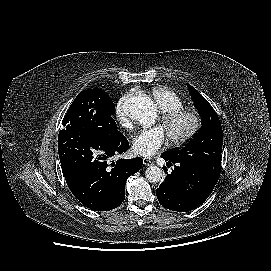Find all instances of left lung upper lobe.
Instances as JSON below:
<instances>
[{
    "label": "left lung upper lobe",
    "instance_id": "obj_1",
    "mask_svg": "<svg viewBox=\"0 0 271 271\" xmlns=\"http://www.w3.org/2000/svg\"><path fill=\"white\" fill-rule=\"evenodd\" d=\"M188 89L200 114L202 127L184 148H175L166 153L174 161L194 166L218 179L223 145L221 123L209 102L191 85H188Z\"/></svg>",
    "mask_w": 271,
    "mask_h": 271
}]
</instances>
